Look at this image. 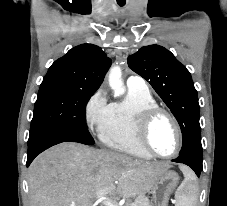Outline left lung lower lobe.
Here are the masks:
<instances>
[{"label": "left lung lower lobe", "instance_id": "obj_1", "mask_svg": "<svg viewBox=\"0 0 227 206\" xmlns=\"http://www.w3.org/2000/svg\"><path fill=\"white\" fill-rule=\"evenodd\" d=\"M172 161L188 165L193 169L198 177L200 176V172L203 169L202 157L193 155L190 152L180 154L176 159H173Z\"/></svg>", "mask_w": 227, "mask_h": 206}]
</instances>
